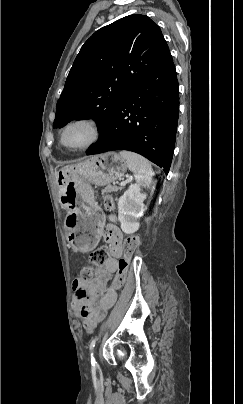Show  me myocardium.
Returning a JSON list of instances; mask_svg holds the SVG:
<instances>
[{
  "label": "myocardium",
  "mask_w": 243,
  "mask_h": 404,
  "mask_svg": "<svg viewBox=\"0 0 243 404\" xmlns=\"http://www.w3.org/2000/svg\"><path fill=\"white\" fill-rule=\"evenodd\" d=\"M77 123H86L91 127L92 137L91 139L84 145L78 147H71L65 143L64 137L66 131L74 124ZM102 128L101 124L95 117L91 115H78L67 120L60 129L59 132V143L60 145L69 151H85L93 147L101 138Z\"/></svg>",
  "instance_id": "obj_1"
}]
</instances>
